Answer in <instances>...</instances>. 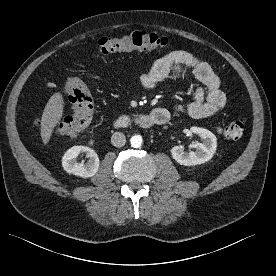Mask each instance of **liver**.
Listing matches in <instances>:
<instances>
[{
    "instance_id": "obj_1",
    "label": "liver",
    "mask_w": 276,
    "mask_h": 276,
    "mask_svg": "<svg viewBox=\"0 0 276 276\" xmlns=\"http://www.w3.org/2000/svg\"><path fill=\"white\" fill-rule=\"evenodd\" d=\"M64 98L60 92L54 93L46 104L41 118V138L44 145L51 139L54 128L64 112Z\"/></svg>"
}]
</instances>
